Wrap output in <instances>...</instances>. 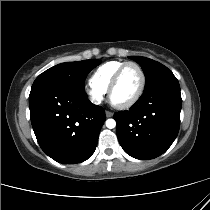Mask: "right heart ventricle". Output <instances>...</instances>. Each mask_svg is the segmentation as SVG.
Here are the masks:
<instances>
[{"mask_svg":"<svg viewBox=\"0 0 210 210\" xmlns=\"http://www.w3.org/2000/svg\"><path fill=\"white\" fill-rule=\"evenodd\" d=\"M124 63L121 60H112L100 65L91 75L90 82L95 87L106 92L116 70Z\"/></svg>","mask_w":210,"mask_h":210,"instance_id":"1","label":"right heart ventricle"}]
</instances>
